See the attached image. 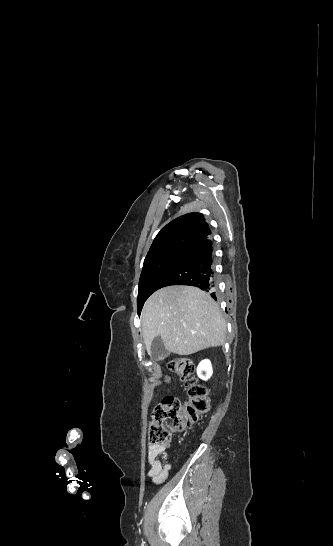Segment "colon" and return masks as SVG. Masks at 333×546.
I'll list each match as a JSON object with an SVG mask.
<instances>
[{
  "instance_id": "5ec220e1",
  "label": "colon",
  "mask_w": 333,
  "mask_h": 546,
  "mask_svg": "<svg viewBox=\"0 0 333 546\" xmlns=\"http://www.w3.org/2000/svg\"><path fill=\"white\" fill-rule=\"evenodd\" d=\"M169 368L186 385L189 399L183 405L179 399L167 396L155 407L149 428V442L164 447L169 445L173 433L189 428L210 409L209 391L196 378L193 362L178 357L170 361Z\"/></svg>"
}]
</instances>
